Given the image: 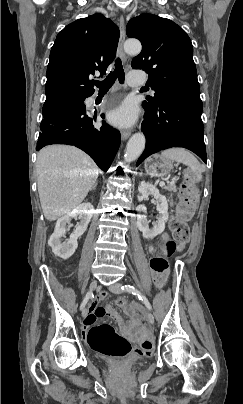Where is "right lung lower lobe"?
<instances>
[{"label":"right lung lower lobe","instance_id":"1","mask_svg":"<svg viewBox=\"0 0 243 404\" xmlns=\"http://www.w3.org/2000/svg\"><path fill=\"white\" fill-rule=\"evenodd\" d=\"M93 121L96 114L86 113L84 103L61 106L44 114L36 150L50 144L74 145L106 172L119 149L120 133L105 123L96 129Z\"/></svg>","mask_w":243,"mask_h":404}]
</instances>
